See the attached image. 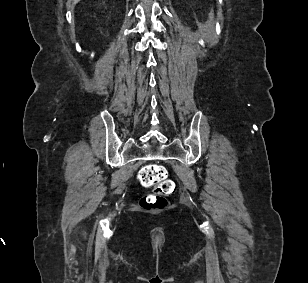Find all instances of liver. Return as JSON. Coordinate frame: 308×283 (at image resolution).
Wrapping results in <instances>:
<instances>
[{"instance_id": "6515ba94", "label": "liver", "mask_w": 308, "mask_h": 283, "mask_svg": "<svg viewBox=\"0 0 308 283\" xmlns=\"http://www.w3.org/2000/svg\"><path fill=\"white\" fill-rule=\"evenodd\" d=\"M74 1V4L78 3L80 0H73Z\"/></svg>"}]
</instances>
